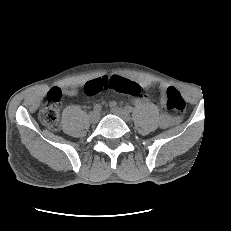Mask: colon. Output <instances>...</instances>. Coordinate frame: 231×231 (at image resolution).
Here are the masks:
<instances>
[{"mask_svg": "<svg viewBox=\"0 0 231 231\" xmlns=\"http://www.w3.org/2000/svg\"><path fill=\"white\" fill-rule=\"evenodd\" d=\"M84 90L88 95H96L105 90H112L131 96L138 95L142 91L137 83L130 82L121 77L92 80L84 86ZM61 96L62 92L59 88L51 89L39 112L40 121L51 130L59 129V103ZM164 111H170L177 117L181 116L185 111V102L181 94L175 88H168L166 90Z\"/></svg>", "mask_w": 231, "mask_h": 231, "instance_id": "1", "label": "colon"}]
</instances>
